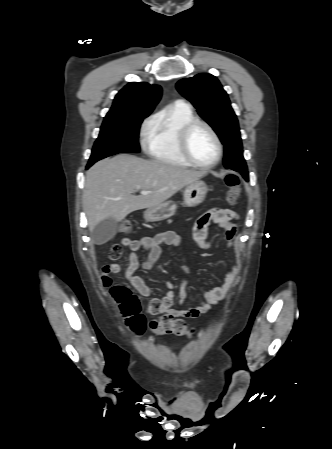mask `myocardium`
I'll return each instance as SVG.
<instances>
[{"label":"myocardium","mask_w":332,"mask_h":449,"mask_svg":"<svg viewBox=\"0 0 332 449\" xmlns=\"http://www.w3.org/2000/svg\"><path fill=\"white\" fill-rule=\"evenodd\" d=\"M198 126H202L204 127L213 137L216 147H217V155L215 157V159L208 164H202L199 163L198 161H196L194 159V157L192 156L190 149H189V136L191 134V132ZM178 148L179 151L181 153V155L183 156V158L192 166L200 168V169H211L213 167H215L221 160L222 155H223V146H222V142L220 140L219 135L217 134V132L215 131V129L208 124L205 121L202 120H198V119H194L192 121H190L189 123L185 124L179 131L178 134Z\"/></svg>","instance_id":"1"}]
</instances>
